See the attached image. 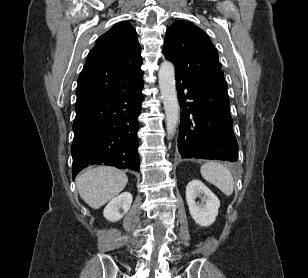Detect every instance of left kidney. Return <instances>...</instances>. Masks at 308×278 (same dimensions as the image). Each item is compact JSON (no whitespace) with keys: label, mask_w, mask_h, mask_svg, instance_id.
<instances>
[{"label":"left kidney","mask_w":308,"mask_h":278,"mask_svg":"<svg viewBox=\"0 0 308 278\" xmlns=\"http://www.w3.org/2000/svg\"><path fill=\"white\" fill-rule=\"evenodd\" d=\"M196 197H201L203 203H196ZM186 201L190 215L198 225L208 227L215 222L220 201L201 181L192 180L187 184Z\"/></svg>","instance_id":"left-kidney-1"}]
</instances>
